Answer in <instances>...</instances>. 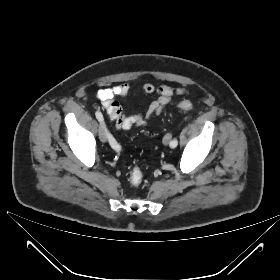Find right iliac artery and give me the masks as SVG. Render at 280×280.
<instances>
[{
  "label": "right iliac artery",
  "instance_id": "82829eb1",
  "mask_svg": "<svg viewBox=\"0 0 280 280\" xmlns=\"http://www.w3.org/2000/svg\"><path fill=\"white\" fill-rule=\"evenodd\" d=\"M95 115H96V118L98 119L99 122L104 123L103 122V120H104L103 115H102L101 112L97 111L95 113ZM108 139H109L110 145L113 149L121 150V146L117 143V141L114 139V137L109 133H108Z\"/></svg>",
  "mask_w": 280,
  "mask_h": 280
}]
</instances>
